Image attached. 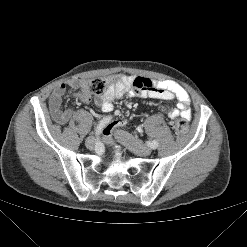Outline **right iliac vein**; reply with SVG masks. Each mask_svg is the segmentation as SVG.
I'll list each match as a JSON object with an SVG mask.
<instances>
[{
  "label": "right iliac vein",
  "mask_w": 247,
  "mask_h": 247,
  "mask_svg": "<svg viewBox=\"0 0 247 247\" xmlns=\"http://www.w3.org/2000/svg\"><path fill=\"white\" fill-rule=\"evenodd\" d=\"M86 147L88 148V149H93L94 148V145H95V141H94V138L93 137H88L87 139H86Z\"/></svg>",
  "instance_id": "right-iliac-vein-1"
}]
</instances>
